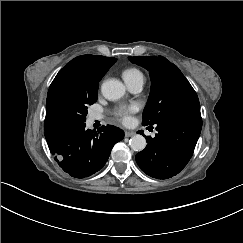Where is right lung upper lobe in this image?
Returning <instances> with one entry per match:
<instances>
[{
  "label": "right lung upper lobe",
  "instance_id": "1",
  "mask_svg": "<svg viewBox=\"0 0 243 243\" xmlns=\"http://www.w3.org/2000/svg\"><path fill=\"white\" fill-rule=\"evenodd\" d=\"M117 61L113 57L99 55H82L68 62L56 75L51 83L47 95L46 109L54 96L61 87L69 84L98 85L101 78L109 68ZM53 128L45 118V131Z\"/></svg>",
  "mask_w": 243,
  "mask_h": 243
}]
</instances>
